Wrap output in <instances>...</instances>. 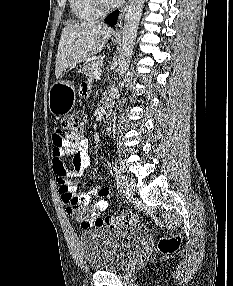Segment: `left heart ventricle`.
<instances>
[{
	"instance_id": "obj_1",
	"label": "left heart ventricle",
	"mask_w": 233,
	"mask_h": 286,
	"mask_svg": "<svg viewBox=\"0 0 233 286\" xmlns=\"http://www.w3.org/2000/svg\"><path fill=\"white\" fill-rule=\"evenodd\" d=\"M107 3H112L114 2L113 0H105Z\"/></svg>"
}]
</instances>
